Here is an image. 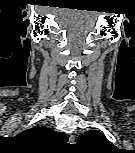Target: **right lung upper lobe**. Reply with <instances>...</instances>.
Returning <instances> with one entry per match:
<instances>
[{
	"label": "right lung upper lobe",
	"instance_id": "cb5924a9",
	"mask_svg": "<svg viewBox=\"0 0 135 153\" xmlns=\"http://www.w3.org/2000/svg\"><path fill=\"white\" fill-rule=\"evenodd\" d=\"M16 138L39 147L48 146L57 142H67L68 140L65 134L53 131L47 127H33L21 132Z\"/></svg>",
	"mask_w": 135,
	"mask_h": 153
}]
</instances>
